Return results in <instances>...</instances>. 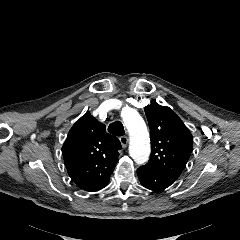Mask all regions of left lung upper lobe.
I'll list each match as a JSON object with an SVG mask.
<instances>
[{
    "label": "left lung upper lobe",
    "instance_id": "obj_1",
    "mask_svg": "<svg viewBox=\"0 0 240 240\" xmlns=\"http://www.w3.org/2000/svg\"><path fill=\"white\" fill-rule=\"evenodd\" d=\"M144 110L152 147L146 165L176 181L192 152V134L171 108L153 103Z\"/></svg>",
    "mask_w": 240,
    "mask_h": 240
}]
</instances>
